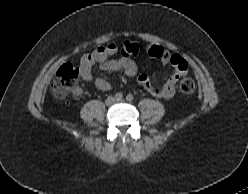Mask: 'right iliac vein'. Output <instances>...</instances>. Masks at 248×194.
I'll return each mask as SVG.
<instances>
[{"mask_svg":"<svg viewBox=\"0 0 248 194\" xmlns=\"http://www.w3.org/2000/svg\"><path fill=\"white\" fill-rule=\"evenodd\" d=\"M106 105L110 106L115 103V99L113 97H108L105 101Z\"/></svg>","mask_w":248,"mask_h":194,"instance_id":"63e3f726","label":"right iliac vein"}]
</instances>
